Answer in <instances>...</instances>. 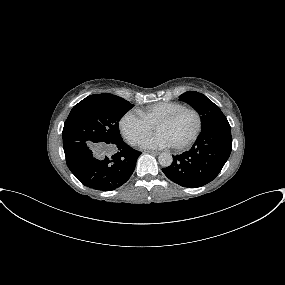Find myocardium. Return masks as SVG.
Returning <instances> with one entry per match:
<instances>
[{"mask_svg":"<svg viewBox=\"0 0 285 285\" xmlns=\"http://www.w3.org/2000/svg\"><path fill=\"white\" fill-rule=\"evenodd\" d=\"M186 111H190V112L194 113V115L196 116V119H197V127H196L194 133L191 135V137L188 140H186L184 143H182L179 146H173V148L177 151H181V150H184V149L190 147L198 139V137L202 131V128H203V119H202L200 112L193 107L184 106V107H181V108L167 114L166 116L162 117L154 125V129L156 130L159 125L166 124V123L173 121L178 115H180L181 113L186 112Z\"/></svg>","mask_w":285,"mask_h":285,"instance_id":"myocardium-1","label":"myocardium"}]
</instances>
